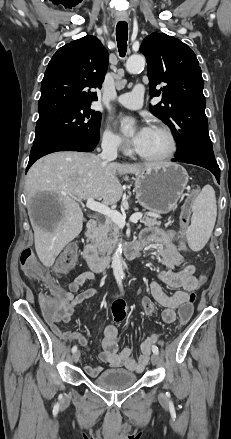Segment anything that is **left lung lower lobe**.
<instances>
[{
	"label": "left lung lower lobe",
	"mask_w": 231,
	"mask_h": 439,
	"mask_svg": "<svg viewBox=\"0 0 231 439\" xmlns=\"http://www.w3.org/2000/svg\"><path fill=\"white\" fill-rule=\"evenodd\" d=\"M172 161L185 162L204 167L210 170L215 175L218 182L220 181V169L214 155L205 152L194 151L181 155H176L175 158L172 159Z\"/></svg>",
	"instance_id": "1"
}]
</instances>
